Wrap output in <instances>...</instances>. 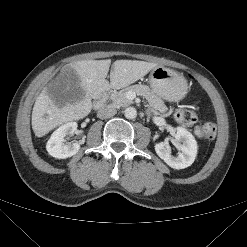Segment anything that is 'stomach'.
<instances>
[{
  "mask_svg": "<svg viewBox=\"0 0 247 247\" xmlns=\"http://www.w3.org/2000/svg\"><path fill=\"white\" fill-rule=\"evenodd\" d=\"M149 83L156 95L169 102L181 100L188 88L181 73L163 66H157L151 70Z\"/></svg>",
  "mask_w": 247,
  "mask_h": 247,
  "instance_id": "stomach-1",
  "label": "stomach"
}]
</instances>
